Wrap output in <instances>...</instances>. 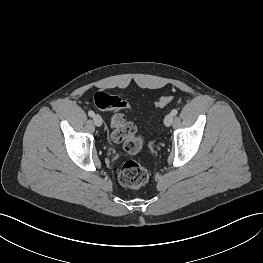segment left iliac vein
<instances>
[{"label": "left iliac vein", "instance_id": "1", "mask_svg": "<svg viewBox=\"0 0 263 263\" xmlns=\"http://www.w3.org/2000/svg\"><path fill=\"white\" fill-rule=\"evenodd\" d=\"M173 119H174V116L171 113L167 114L164 118L165 126L169 127L172 124Z\"/></svg>", "mask_w": 263, "mask_h": 263}]
</instances>
